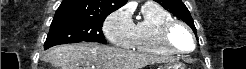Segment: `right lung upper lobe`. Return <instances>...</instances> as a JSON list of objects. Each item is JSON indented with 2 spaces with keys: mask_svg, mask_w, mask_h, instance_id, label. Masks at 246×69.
<instances>
[{
  "mask_svg": "<svg viewBox=\"0 0 246 69\" xmlns=\"http://www.w3.org/2000/svg\"><path fill=\"white\" fill-rule=\"evenodd\" d=\"M127 0H63L54 19L59 18H106L126 4Z\"/></svg>",
  "mask_w": 246,
  "mask_h": 69,
  "instance_id": "cb5924a9",
  "label": "right lung upper lobe"
}]
</instances>
